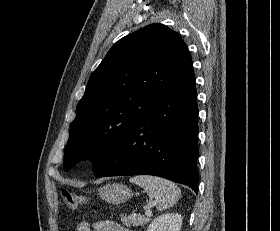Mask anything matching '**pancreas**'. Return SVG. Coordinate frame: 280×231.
I'll use <instances>...</instances> for the list:
<instances>
[{"label": "pancreas", "instance_id": "pancreas-1", "mask_svg": "<svg viewBox=\"0 0 280 231\" xmlns=\"http://www.w3.org/2000/svg\"><path fill=\"white\" fill-rule=\"evenodd\" d=\"M121 221H123L124 225H127V227H131V225H145L150 219L149 217H145V215H137V213H132V215L121 213Z\"/></svg>", "mask_w": 280, "mask_h": 231}]
</instances>
